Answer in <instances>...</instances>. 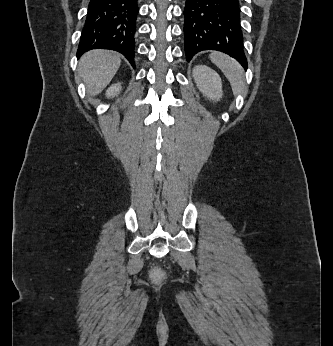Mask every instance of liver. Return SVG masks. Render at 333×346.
Listing matches in <instances>:
<instances>
[{
	"mask_svg": "<svg viewBox=\"0 0 333 346\" xmlns=\"http://www.w3.org/2000/svg\"><path fill=\"white\" fill-rule=\"evenodd\" d=\"M121 64L120 55L108 50H92L85 53L78 70L90 95H98L110 83Z\"/></svg>",
	"mask_w": 333,
	"mask_h": 346,
	"instance_id": "obj_1",
	"label": "liver"
}]
</instances>
